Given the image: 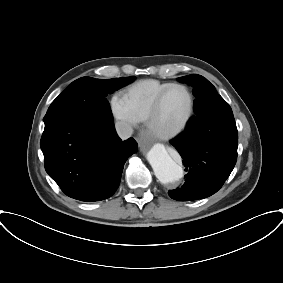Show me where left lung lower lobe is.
Returning <instances> with one entry per match:
<instances>
[{
	"label": "left lung lower lobe",
	"mask_w": 283,
	"mask_h": 283,
	"mask_svg": "<svg viewBox=\"0 0 283 283\" xmlns=\"http://www.w3.org/2000/svg\"><path fill=\"white\" fill-rule=\"evenodd\" d=\"M185 131L170 143L186 167L181 188L168 192L178 201L196 200L216 193L232 172L237 160L238 140L215 138L213 134L228 127L231 108L221 97L210 105L197 107Z\"/></svg>",
	"instance_id": "1"
}]
</instances>
